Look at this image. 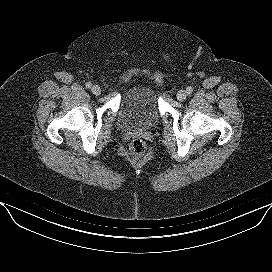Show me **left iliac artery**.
I'll use <instances>...</instances> for the list:
<instances>
[{
	"mask_svg": "<svg viewBox=\"0 0 272 272\" xmlns=\"http://www.w3.org/2000/svg\"><path fill=\"white\" fill-rule=\"evenodd\" d=\"M186 91H187L188 94H191L192 91H193V88L192 87H187Z\"/></svg>",
	"mask_w": 272,
	"mask_h": 272,
	"instance_id": "left-iliac-artery-1",
	"label": "left iliac artery"
}]
</instances>
